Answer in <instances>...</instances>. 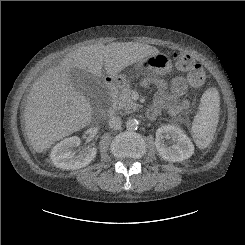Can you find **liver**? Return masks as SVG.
<instances>
[{"mask_svg": "<svg viewBox=\"0 0 245 245\" xmlns=\"http://www.w3.org/2000/svg\"><path fill=\"white\" fill-rule=\"evenodd\" d=\"M158 53L157 48L136 42L95 43L70 52L30 91L24 110L25 131L30 145L36 152L42 153L56 141L92 122L91 103L73 86L71 70L79 69L99 79L104 66L108 75L115 76Z\"/></svg>", "mask_w": 245, "mask_h": 245, "instance_id": "1", "label": "liver"}]
</instances>
